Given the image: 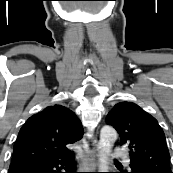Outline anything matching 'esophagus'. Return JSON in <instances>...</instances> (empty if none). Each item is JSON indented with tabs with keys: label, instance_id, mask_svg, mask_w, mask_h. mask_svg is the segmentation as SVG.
Returning a JSON list of instances; mask_svg holds the SVG:
<instances>
[{
	"label": "esophagus",
	"instance_id": "34e87169",
	"mask_svg": "<svg viewBox=\"0 0 173 173\" xmlns=\"http://www.w3.org/2000/svg\"><path fill=\"white\" fill-rule=\"evenodd\" d=\"M91 142L93 146L92 148L89 147V144L85 147V161L87 162L90 170H94L96 168L97 139L93 138Z\"/></svg>",
	"mask_w": 173,
	"mask_h": 173
}]
</instances>
